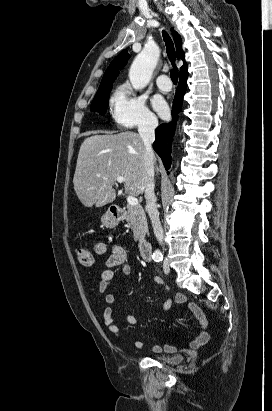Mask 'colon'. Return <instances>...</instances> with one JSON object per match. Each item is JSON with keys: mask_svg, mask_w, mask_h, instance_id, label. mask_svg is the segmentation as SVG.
I'll return each mask as SVG.
<instances>
[{"mask_svg": "<svg viewBox=\"0 0 272 411\" xmlns=\"http://www.w3.org/2000/svg\"><path fill=\"white\" fill-rule=\"evenodd\" d=\"M77 259L84 266H92L94 263L93 255L85 248H77Z\"/></svg>", "mask_w": 272, "mask_h": 411, "instance_id": "5ec220e1", "label": "colon"}]
</instances>
